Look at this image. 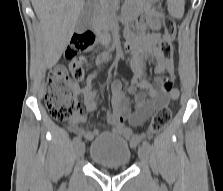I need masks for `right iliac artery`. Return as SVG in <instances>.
<instances>
[{
  "label": "right iliac artery",
  "instance_id": "82829eb1",
  "mask_svg": "<svg viewBox=\"0 0 223 191\" xmlns=\"http://www.w3.org/2000/svg\"><path fill=\"white\" fill-rule=\"evenodd\" d=\"M80 141V137L76 136L73 138V144L76 145Z\"/></svg>",
  "mask_w": 223,
  "mask_h": 191
}]
</instances>
